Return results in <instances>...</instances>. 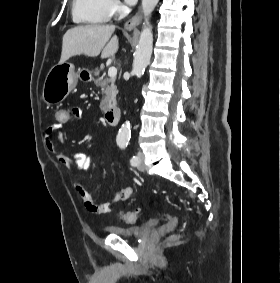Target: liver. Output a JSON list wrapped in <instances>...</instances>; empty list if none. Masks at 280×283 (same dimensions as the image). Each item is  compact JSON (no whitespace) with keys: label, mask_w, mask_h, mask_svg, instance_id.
Here are the masks:
<instances>
[{"label":"liver","mask_w":280,"mask_h":283,"mask_svg":"<svg viewBox=\"0 0 280 283\" xmlns=\"http://www.w3.org/2000/svg\"><path fill=\"white\" fill-rule=\"evenodd\" d=\"M114 25L90 24L69 29L63 36L62 53L59 63H65L76 55L101 58L114 57L119 48V40ZM112 36V37H111Z\"/></svg>","instance_id":"1"}]
</instances>
